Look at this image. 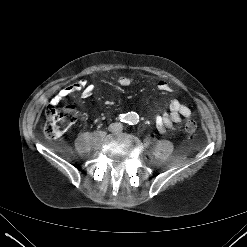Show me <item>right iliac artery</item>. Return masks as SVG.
Listing matches in <instances>:
<instances>
[{
  "mask_svg": "<svg viewBox=\"0 0 247 247\" xmlns=\"http://www.w3.org/2000/svg\"><path fill=\"white\" fill-rule=\"evenodd\" d=\"M119 119H120L121 122H126L125 114H122V115L119 117Z\"/></svg>",
  "mask_w": 247,
  "mask_h": 247,
  "instance_id": "right-iliac-artery-1",
  "label": "right iliac artery"
}]
</instances>
